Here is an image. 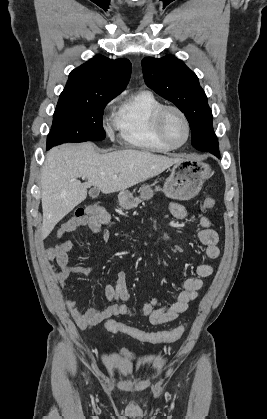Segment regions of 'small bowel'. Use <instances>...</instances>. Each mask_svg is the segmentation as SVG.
Segmentation results:
<instances>
[{
  "label": "small bowel",
  "instance_id": "1",
  "mask_svg": "<svg viewBox=\"0 0 267 419\" xmlns=\"http://www.w3.org/2000/svg\"><path fill=\"white\" fill-rule=\"evenodd\" d=\"M170 212L177 219L189 217V211L182 204L173 202L170 204ZM201 230L197 234L199 242L204 247L205 256L209 259H216L220 254L218 248V234L212 228L211 220L203 213L199 214ZM80 227H87L89 231L104 241H108L110 233L103 224L92 217H73L65 222L56 232L58 243L54 247L45 250V258L53 267L54 279L61 288H65L73 274L90 276L91 269L85 266H73L69 263V253L73 248L67 235ZM214 268L210 264H199L194 271V276L186 278L181 285L177 299L173 303L165 304L159 308L158 298H153L143 306L142 315L148 318L153 325H160L176 319L185 312L189 303L193 301L198 291L203 286V279L213 274ZM105 297L108 306L103 309L89 308L81 310L76 301L71 298L65 300L77 326L81 329L91 328L110 318L111 316H132L130 306L125 302L129 299L127 291V274L125 271H118L113 284L105 286Z\"/></svg>",
  "mask_w": 267,
  "mask_h": 419
}]
</instances>
